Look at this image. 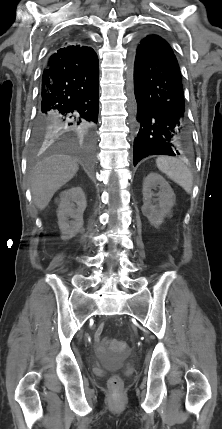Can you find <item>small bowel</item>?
Listing matches in <instances>:
<instances>
[{"label":"small bowel","instance_id":"small-bowel-1","mask_svg":"<svg viewBox=\"0 0 222 429\" xmlns=\"http://www.w3.org/2000/svg\"><path fill=\"white\" fill-rule=\"evenodd\" d=\"M100 332H101V328L98 330L96 334V342H97L96 347L99 355L103 358H106L108 357V349L99 342Z\"/></svg>","mask_w":222,"mask_h":429}]
</instances>
